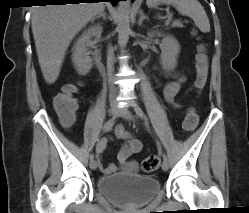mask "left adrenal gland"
<instances>
[{"label": "left adrenal gland", "instance_id": "left-adrenal-gland-1", "mask_svg": "<svg viewBox=\"0 0 249 213\" xmlns=\"http://www.w3.org/2000/svg\"><path fill=\"white\" fill-rule=\"evenodd\" d=\"M139 15H140V18L138 20V24L142 25L143 20L148 19V17L146 15H144L142 9L139 11Z\"/></svg>", "mask_w": 249, "mask_h": 213}]
</instances>
